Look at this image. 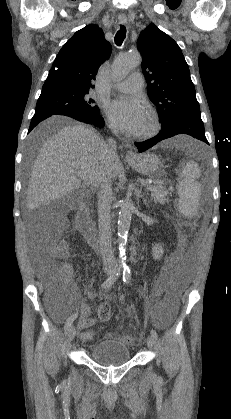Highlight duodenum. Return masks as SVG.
Returning a JSON list of instances; mask_svg holds the SVG:
<instances>
[{
	"instance_id": "410a0bca",
	"label": "duodenum",
	"mask_w": 231,
	"mask_h": 419,
	"mask_svg": "<svg viewBox=\"0 0 231 419\" xmlns=\"http://www.w3.org/2000/svg\"><path fill=\"white\" fill-rule=\"evenodd\" d=\"M76 223L80 230L83 232L86 238L96 244L95 238V224L90 217L87 204H82L76 214Z\"/></svg>"
}]
</instances>
